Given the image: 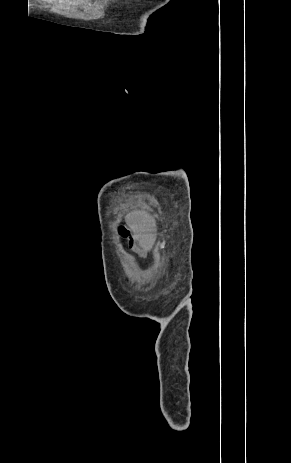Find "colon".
Masks as SVG:
<instances>
[{"label":"colon","instance_id":"colon-1","mask_svg":"<svg viewBox=\"0 0 291 463\" xmlns=\"http://www.w3.org/2000/svg\"><path fill=\"white\" fill-rule=\"evenodd\" d=\"M120 233H121L123 236H125V235L127 234V231H126L125 228L122 227V228H120Z\"/></svg>","mask_w":291,"mask_h":463}]
</instances>
